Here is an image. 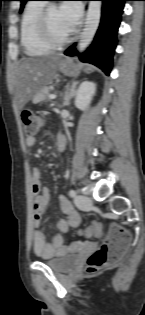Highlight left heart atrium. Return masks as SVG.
<instances>
[{
	"label": "left heart atrium",
	"instance_id": "39dd6f15",
	"mask_svg": "<svg viewBox=\"0 0 145 315\" xmlns=\"http://www.w3.org/2000/svg\"><path fill=\"white\" fill-rule=\"evenodd\" d=\"M59 11L72 31L78 25L82 15L80 3L75 0L66 1L60 5Z\"/></svg>",
	"mask_w": 145,
	"mask_h": 315
}]
</instances>
